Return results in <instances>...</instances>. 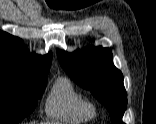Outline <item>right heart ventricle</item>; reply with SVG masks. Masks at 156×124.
I'll use <instances>...</instances> for the list:
<instances>
[{
  "label": "right heart ventricle",
  "mask_w": 156,
  "mask_h": 124,
  "mask_svg": "<svg viewBox=\"0 0 156 124\" xmlns=\"http://www.w3.org/2000/svg\"><path fill=\"white\" fill-rule=\"evenodd\" d=\"M86 99L75 88L67 77H58L46 99V115L58 121L66 123H84L91 120L95 113L85 108Z\"/></svg>",
  "instance_id": "right-heart-ventricle-1"
}]
</instances>
